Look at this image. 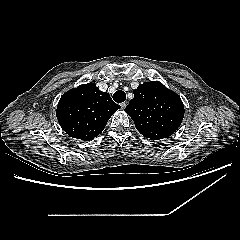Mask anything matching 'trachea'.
<instances>
[{
	"label": "trachea",
	"mask_w": 240,
	"mask_h": 240,
	"mask_svg": "<svg viewBox=\"0 0 240 240\" xmlns=\"http://www.w3.org/2000/svg\"><path fill=\"white\" fill-rule=\"evenodd\" d=\"M113 99L117 103L124 102L126 100V94L122 90H118L113 94Z\"/></svg>",
	"instance_id": "1"
}]
</instances>
